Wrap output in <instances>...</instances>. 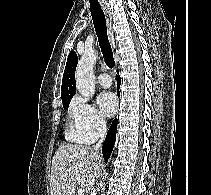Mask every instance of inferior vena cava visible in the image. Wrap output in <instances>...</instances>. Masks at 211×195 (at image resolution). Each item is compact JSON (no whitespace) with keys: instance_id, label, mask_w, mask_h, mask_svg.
<instances>
[{"instance_id":"obj_1","label":"inferior vena cava","mask_w":211,"mask_h":195,"mask_svg":"<svg viewBox=\"0 0 211 195\" xmlns=\"http://www.w3.org/2000/svg\"><path fill=\"white\" fill-rule=\"evenodd\" d=\"M97 131H98V136H99L100 139L96 143V145L94 146L95 151H97L102 146V143L104 141V137H105L106 132H107L105 121H103V120L99 121L98 126H97ZM90 195H95L94 189L92 190V194H90Z\"/></svg>"}]
</instances>
